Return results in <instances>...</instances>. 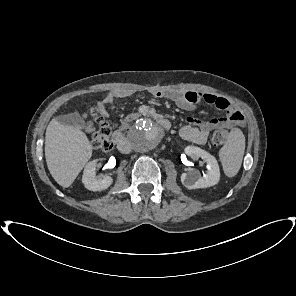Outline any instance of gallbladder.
<instances>
[{
	"label": "gallbladder",
	"instance_id": "gallbladder-1",
	"mask_svg": "<svg viewBox=\"0 0 296 296\" xmlns=\"http://www.w3.org/2000/svg\"><path fill=\"white\" fill-rule=\"evenodd\" d=\"M57 121L64 126H72L79 128L83 126V119L78 113H70L66 115H60L57 117Z\"/></svg>",
	"mask_w": 296,
	"mask_h": 296
}]
</instances>
